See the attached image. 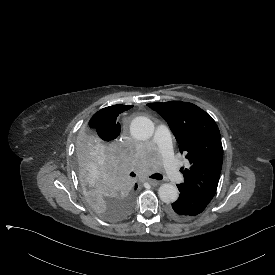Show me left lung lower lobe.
I'll return each mask as SVG.
<instances>
[{
  "label": "left lung lower lobe",
  "mask_w": 275,
  "mask_h": 275,
  "mask_svg": "<svg viewBox=\"0 0 275 275\" xmlns=\"http://www.w3.org/2000/svg\"><path fill=\"white\" fill-rule=\"evenodd\" d=\"M177 187L181 194L178 200L167 208V214L176 221H187L202 213L211 201L192 189Z\"/></svg>",
  "instance_id": "obj_1"
}]
</instances>
